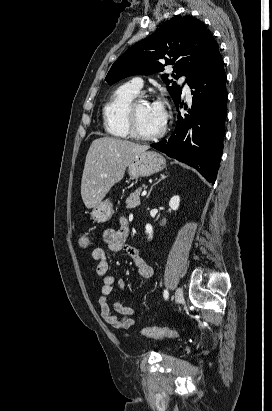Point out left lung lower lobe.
Masks as SVG:
<instances>
[{"label":"left lung lower lobe","mask_w":272,"mask_h":411,"mask_svg":"<svg viewBox=\"0 0 272 411\" xmlns=\"http://www.w3.org/2000/svg\"><path fill=\"white\" fill-rule=\"evenodd\" d=\"M189 86L192 108L184 116L178 113L176 128L168 140L151 147L194 167L214 184L223 151L227 112L226 73L219 50ZM175 105L178 110L183 102L180 99Z\"/></svg>","instance_id":"0a47b994"}]
</instances>
